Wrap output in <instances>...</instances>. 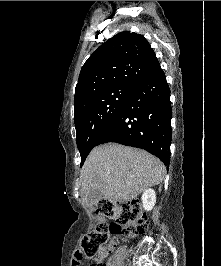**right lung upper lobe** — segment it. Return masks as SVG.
I'll list each match as a JSON object with an SVG mask.
<instances>
[{
	"mask_svg": "<svg viewBox=\"0 0 221 266\" xmlns=\"http://www.w3.org/2000/svg\"><path fill=\"white\" fill-rule=\"evenodd\" d=\"M159 68V61L144 36L120 32L84 63L75 89L74 110L92 93L116 86L134 87Z\"/></svg>",
	"mask_w": 221,
	"mask_h": 266,
	"instance_id": "1",
	"label": "right lung upper lobe"
}]
</instances>
